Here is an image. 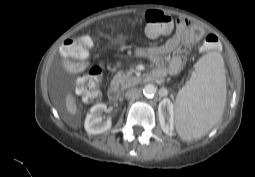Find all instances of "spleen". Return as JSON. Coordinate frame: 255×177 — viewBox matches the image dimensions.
Instances as JSON below:
<instances>
[{"label": "spleen", "mask_w": 255, "mask_h": 177, "mask_svg": "<svg viewBox=\"0 0 255 177\" xmlns=\"http://www.w3.org/2000/svg\"><path fill=\"white\" fill-rule=\"evenodd\" d=\"M226 102V77L221 54L210 52L195 64L189 83L178 93L175 123L183 140L204 136L220 120Z\"/></svg>", "instance_id": "1"}]
</instances>
